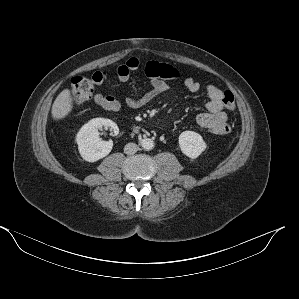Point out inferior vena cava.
<instances>
[{
    "mask_svg": "<svg viewBox=\"0 0 299 299\" xmlns=\"http://www.w3.org/2000/svg\"><path fill=\"white\" fill-rule=\"evenodd\" d=\"M138 145L136 143H128L124 147V153L126 154H134L138 151Z\"/></svg>",
    "mask_w": 299,
    "mask_h": 299,
    "instance_id": "602c4592",
    "label": "inferior vena cava"
}]
</instances>
